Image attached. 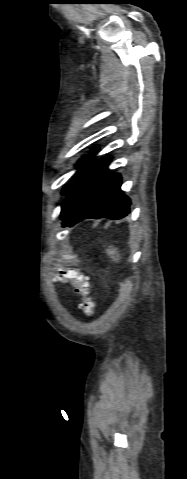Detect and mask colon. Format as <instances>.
<instances>
[{
    "instance_id": "obj_1",
    "label": "colon",
    "mask_w": 187,
    "mask_h": 479,
    "mask_svg": "<svg viewBox=\"0 0 187 479\" xmlns=\"http://www.w3.org/2000/svg\"><path fill=\"white\" fill-rule=\"evenodd\" d=\"M60 273L73 281L75 292L82 297L81 306L84 314L88 317L93 316L95 313V303L90 295L87 283L75 271L62 269Z\"/></svg>"
}]
</instances>
